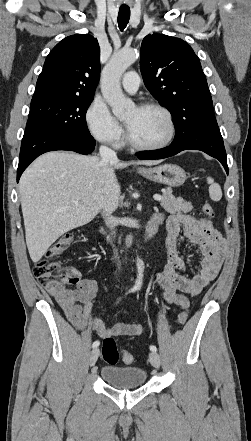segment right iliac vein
<instances>
[{"instance_id": "right-iliac-vein-1", "label": "right iliac vein", "mask_w": 251, "mask_h": 441, "mask_svg": "<svg viewBox=\"0 0 251 441\" xmlns=\"http://www.w3.org/2000/svg\"><path fill=\"white\" fill-rule=\"evenodd\" d=\"M99 354H100V350L98 348H95L92 350V352L90 354V358H89V365L90 366H93L96 363V361L99 357Z\"/></svg>"}]
</instances>
